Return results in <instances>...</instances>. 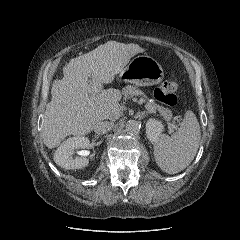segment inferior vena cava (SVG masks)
Returning <instances> with one entry per match:
<instances>
[{
    "mask_svg": "<svg viewBox=\"0 0 240 240\" xmlns=\"http://www.w3.org/2000/svg\"><path fill=\"white\" fill-rule=\"evenodd\" d=\"M113 128V123L109 121H99L94 126V131L97 135H103Z\"/></svg>",
    "mask_w": 240,
    "mask_h": 240,
    "instance_id": "inferior-vena-cava-1",
    "label": "inferior vena cava"
}]
</instances>
